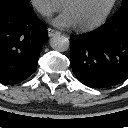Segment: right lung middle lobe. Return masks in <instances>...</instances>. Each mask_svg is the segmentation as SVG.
Listing matches in <instances>:
<instances>
[{
    "label": "right lung middle lobe",
    "instance_id": "1",
    "mask_svg": "<svg viewBox=\"0 0 128 128\" xmlns=\"http://www.w3.org/2000/svg\"><path fill=\"white\" fill-rule=\"evenodd\" d=\"M30 0H0V5H17L21 7H29Z\"/></svg>",
    "mask_w": 128,
    "mask_h": 128
}]
</instances>
